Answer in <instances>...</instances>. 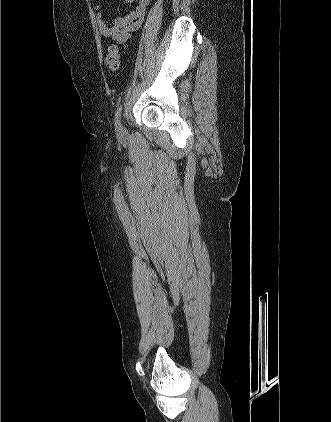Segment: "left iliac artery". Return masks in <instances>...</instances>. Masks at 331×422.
<instances>
[{
	"label": "left iliac artery",
	"instance_id": "1",
	"mask_svg": "<svg viewBox=\"0 0 331 422\" xmlns=\"http://www.w3.org/2000/svg\"><path fill=\"white\" fill-rule=\"evenodd\" d=\"M121 112H122V105H120L115 113V126L116 128H121Z\"/></svg>",
	"mask_w": 331,
	"mask_h": 422
}]
</instances>
